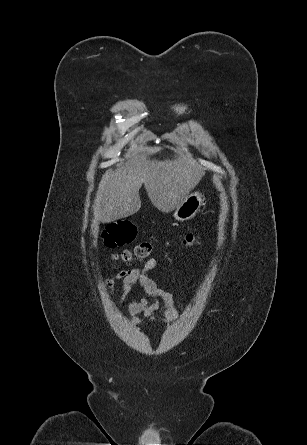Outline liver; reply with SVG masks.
I'll use <instances>...</instances> for the list:
<instances>
[{
  "label": "liver",
  "instance_id": "liver-1",
  "mask_svg": "<svg viewBox=\"0 0 307 445\" xmlns=\"http://www.w3.org/2000/svg\"><path fill=\"white\" fill-rule=\"evenodd\" d=\"M202 174V168L184 158L152 160L140 154L102 178L94 200V216L101 223H111L135 214L141 208L142 184L152 204L161 212H170L187 198Z\"/></svg>",
  "mask_w": 307,
  "mask_h": 445
}]
</instances>
